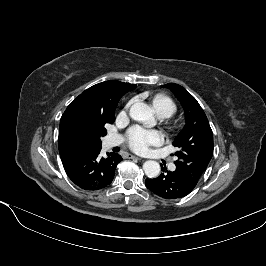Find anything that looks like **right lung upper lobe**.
I'll use <instances>...</instances> for the list:
<instances>
[{"label":"right lung upper lobe","mask_w":266,"mask_h":266,"mask_svg":"<svg viewBox=\"0 0 266 266\" xmlns=\"http://www.w3.org/2000/svg\"><path fill=\"white\" fill-rule=\"evenodd\" d=\"M136 85L109 80L82 92L67 107L59 128V153L62 162L84 151L96 148L82 130L84 120L90 117H111L120 98Z\"/></svg>","instance_id":"1"}]
</instances>
